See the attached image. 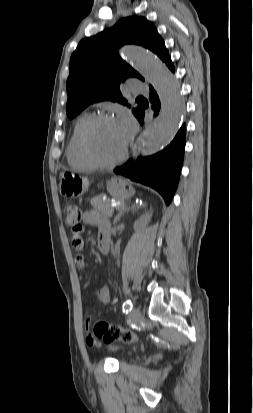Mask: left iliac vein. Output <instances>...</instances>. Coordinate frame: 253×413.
I'll return each mask as SVG.
<instances>
[{
    "instance_id": "4c4485c4",
    "label": "left iliac vein",
    "mask_w": 253,
    "mask_h": 413,
    "mask_svg": "<svg viewBox=\"0 0 253 413\" xmlns=\"http://www.w3.org/2000/svg\"><path fill=\"white\" fill-rule=\"evenodd\" d=\"M130 316L133 320H139L141 318V310L139 308H134L131 311Z\"/></svg>"
}]
</instances>
